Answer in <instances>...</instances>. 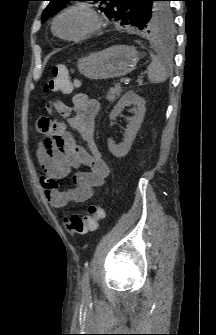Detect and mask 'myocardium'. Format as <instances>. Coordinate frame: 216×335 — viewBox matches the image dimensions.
Instances as JSON below:
<instances>
[{
  "label": "myocardium",
  "mask_w": 216,
  "mask_h": 335,
  "mask_svg": "<svg viewBox=\"0 0 216 335\" xmlns=\"http://www.w3.org/2000/svg\"><path fill=\"white\" fill-rule=\"evenodd\" d=\"M72 11H79L87 15L90 20V24L83 32L75 36L66 37V36L61 35L58 32L57 25L62 16ZM103 26H104V19L93 7L86 5V4H73L71 6L66 7L60 13L57 14V16L54 18L53 23H52V30L56 36H58L59 38L63 40L78 41V40L84 39L88 37L89 35L97 32Z\"/></svg>",
  "instance_id": "1"
}]
</instances>
